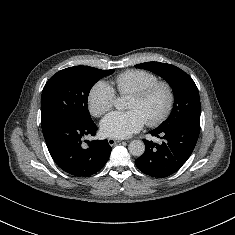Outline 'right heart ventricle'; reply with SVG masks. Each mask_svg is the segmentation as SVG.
<instances>
[{
	"label": "right heart ventricle",
	"instance_id": "e07e8e85",
	"mask_svg": "<svg viewBox=\"0 0 235 235\" xmlns=\"http://www.w3.org/2000/svg\"><path fill=\"white\" fill-rule=\"evenodd\" d=\"M158 81V77L147 70L131 69L118 74L114 79L115 90L120 95L132 94Z\"/></svg>",
	"mask_w": 235,
	"mask_h": 235
}]
</instances>
